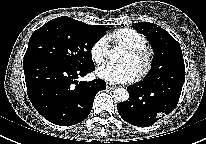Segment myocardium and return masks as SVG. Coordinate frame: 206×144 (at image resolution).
<instances>
[{"mask_svg": "<svg viewBox=\"0 0 206 144\" xmlns=\"http://www.w3.org/2000/svg\"><path fill=\"white\" fill-rule=\"evenodd\" d=\"M127 51L140 63L137 79L140 80L145 78L149 74L153 66L152 52L146 47H129Z\"/></svg>", "mask_w": 206, "mask_h": 144, "instance_id": "myocardium-1", "label": "myocardium"}]
</instances>
